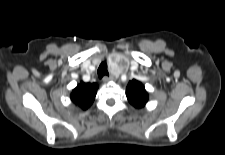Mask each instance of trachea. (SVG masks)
<instances>
[{
    "label": "trachea",
    "instance_id": "1",
    "mask_svg": "<svg viewBox=\"0 0 225 155\" xmlns=\"http://www.w3.org/2000/svg\"><path fill=\"white\" fill-rule=\"evenodd\" d=\"M107 63L104 61L98 68V77L102 78L103 76H108Z\"/></svg>",
    "mask_w": 225,
    "mask_h": 155
}]
</instances>
